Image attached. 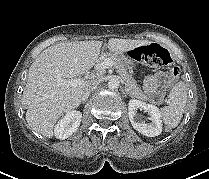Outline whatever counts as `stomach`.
I'll list each match as a JSON object with an SVG mask.
<instances>
[{
	"instance_id": "0dacf381",
	"label": "stomach",
	"mask_w": 209,
	"mask_h": 179,
	"mask_svg": "<svg viewBox=\"0 0 209 179\" xmlns=\"http://www.w3.org/2000/svg\"><path fill=\"white\" fill-rule=\"evenodd\" d=\"M123 62H124L125 67L129 71H133V69L135 68V65L137 63V60L135 59L134 56H127L124 58Z\"/></svg>"
}]
</instances>
